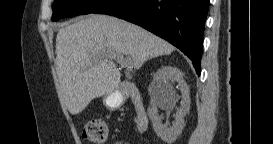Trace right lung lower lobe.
Segmentation results:
<instances>
[{"mask_svg": "<svg viewBox=\"0 0 273 144\" xmlns=\"http://www.w3.org/2000/svg\"><path fill=\"white\" fill-rule=\"evenodd\" d=\"M209 5V0H109L93 13L127 20L169 41L192 60L200 75Z\"/></svg>", "mask_w": 273, "mask_h": 144, "instance_id": "1", "label": "right lung lower lobe"}]
</instances>
